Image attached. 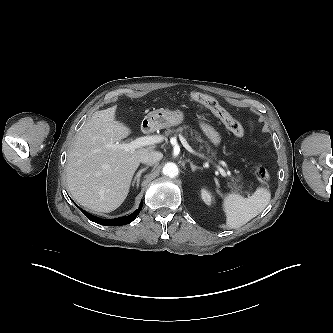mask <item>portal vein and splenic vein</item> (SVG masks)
<instances>
[{"instance_id": "18ae733b", "label": "portal vein and splenic vein", "mask_w": 333, "mask_h": 333, "mask_svg": "<svg viewBox=\"0 0 333 333\" xmlns=\"http://www.w3.org/2000/svg\"><path fill=\"white\" fill-rule=\"evenodd\" d=\"M163 139V137L161 136H157V135H153V136H145V137H140L135 139L134 141L130 142V143H116L114 145H112V147L118 148V149H123L129 152H133L135 149L143 147V146H148V145H154L156 143L161 142ZM179 139L182 143V145L191 153L193 154H198L196 153L191 146L187 143V141L185 140V138L182 135H179ZM219 172L223 177L227 176V173L225 172V170H223L222 168L219 167Z\"/></svg>"}]
</instances>
